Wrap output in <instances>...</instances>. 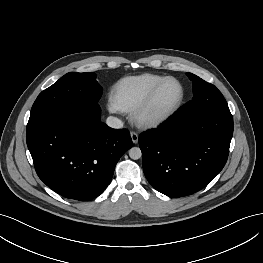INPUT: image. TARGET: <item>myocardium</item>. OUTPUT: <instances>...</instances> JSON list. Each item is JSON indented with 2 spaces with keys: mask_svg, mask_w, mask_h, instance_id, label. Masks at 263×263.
Segmentation results:
<instances>
[{
  "mask_svg": "<svg viewBox=\"0 0 263 263\" xmlns=\"http://www.w3.org/2000/svg\"><path fill=\"white\" fill-rule=\"evenodd\" d=\"M169 80L176 81L181 87V96L178 102L175 106L165 112L151 114L150 110L156 98V95L158 94L162 86ZM185 96L186 89L181 80L173 76L164 77L152 88L145 100L132 111L131 118L137 126L142 128H154L156 126H159L160 124L170 119L180 109L185 100Z\"/></svg>",
  "mask_w": 263,
  "mask_h": 263,
  "instance_id": "myocardium-1",
  "label": "myocardium"
}]
</instances>
